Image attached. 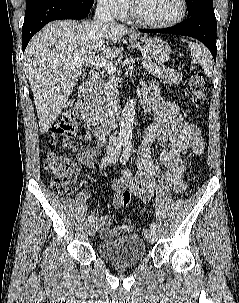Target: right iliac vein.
Segmentation results:
<instances>
[{
    "mask_svg": "<svg viewBox=\"0 0 239 303\" xmlns=\"http://www.w3.org/2000/svg\"><path fill=\"white\" fill-rule=\"evenodd\" d=\"M98 230V223L91 222L88 226V234L89 236H94Z\"/></svg>",
    "mask_w": 239,
    "mask_h": 303,
    "instance_id": "1",
    "label": "right iliac vein"
}]
</instances>
